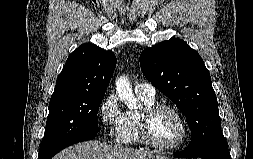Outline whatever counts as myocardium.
Here are the masks:
<instances>
[{"label":"myocardium","instance_id":"1","mask_svg":"<svg viewBox=\"0 0 253 159\" xmlns=\"http://www.w3.org/2000/svg\"><path fill=\"white\" fill-rule=\"evenodd\" d=\"M170 110L172 111L179 119L182 127L181 135L178 138V140L169 146H164L156 143L152 137L151 133V122L154 117V115L160 111V110ZM189 132V127L188 123L181 113V111L176 108L175 106L167 103H159L155 102L150 105L145 106L142 111L140 112L139 116V135H140V140L143 142L145 145L152 147L156 150L159 151H174L178 148H180L186 141L187 136Z\"/></svg>","mask_w":253,"mask_h":159}]
</instances>
